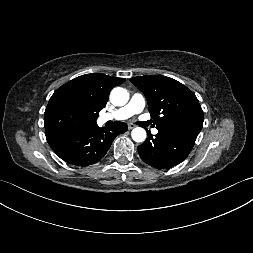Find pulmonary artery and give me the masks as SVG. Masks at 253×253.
<instances>
[{"mask_svg":"<svg viewBox=\"0 0 253 253\" xmlns=\"http://www.w3.org/2000/svg\"><path fill=\"white\" fill-rule=\"evenodd\" d=\"M144 107H145L144 97L139 93H135L131 96L129 102L125 106L115 110L113 113L103 114L100 117V121L106 122L108 120H125L135 114L140 113L144 109ZM152 132L153 134H157L158 130L153 129Z\"/></svg>","mask_w":253,"mask_h":253,"instance_id":"1","label":"pulmonary artery"}]
</instances>
